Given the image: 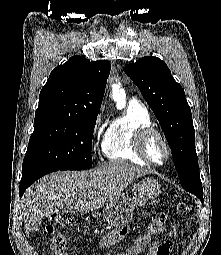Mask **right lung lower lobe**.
<instances>
[{"mask_svg": "<svg viewBox=\"0 0 221 255\" xmlns=\"http://www.w3.org/2000/svg\"><path fill=\"white\" fill-rule=\"evenodd\" d=\"M57 171L51 168H29L26 171H22V178L20 181V197L23 195L24 191L36 180L42 176Z\"/></svg>", "mask_w": 221, "mask_h": 255, "instance_id": "right-lung-lower-lobe-1", "label": "right lung lower lobe"}]
</instances>
